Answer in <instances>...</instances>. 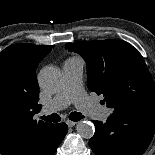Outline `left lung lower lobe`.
Segmentation results:
<instances>
[{"label": "left lung lower lobe", "mask_w": 155, "mask_h": 155, "mask_svg": "<svg viewBox=\"0 0 155 155\" xmlns=\"http://www.w3.org/2000/svg\"><path fill=\"white\" fill-rule=\"evenodd\" d=\"M95 134L89 145L95 155H142L155 130V114H111L106 123L93 121Z\"/></svg>", "instance_id": "1"}]
</instances>
